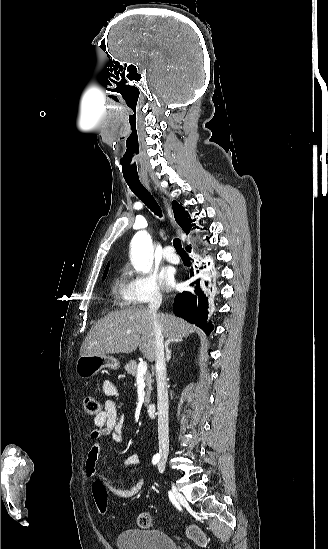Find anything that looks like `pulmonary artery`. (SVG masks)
<instances>
[{"label": "pulmonary artery", "instance_id": "obj_1", "mask_svg": "<svg viewBox=\"0 0 328 549\" xmlns=\"http://www.w3.org/2000/svg\"><path fill=\"white\" fill-rule=\"evenodd\" d=\"M163 257L170 263H177L178 262V257L177 255L173 252V250L170 248V247H167L164 251H163Z\"/></svg>", "mask_w": 328, "mask_h": 549}]
</instances>
